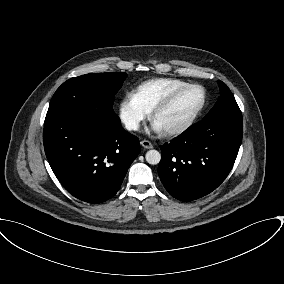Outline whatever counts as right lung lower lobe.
<instances>
[{"mask_svg":"<svg viewBox=\"0 0 284 284\" xmlns=\"http://www.w3.org/2000/svg\"><path fill=\"white\" fill-rule=\"evenodd\" d=\"M43 143L60 183L88 203L113 197L140 153L138 138L122 128L113 109L65 115L44 127Z\"/></svg>","mask_w":284,"mask_h":284,"instance_id":"1","label":"right lung lower lobe"}]
</instances>
